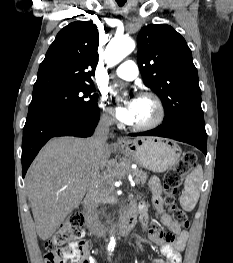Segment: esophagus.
I'll return each instance as SVG.
<instances>
[{
  "label": "esophagus",
  "instance_id": "esophagus-1",
  "mask_svg": "<svg viewBox=\"0 0 233 263\" xmlns=\"http://www.w3.org/2000/svg\"><path fill=\"white\" fill-rule=\"evenodd\" d=\"M127 143H128V140L125 139V138H123V137H120V138H118V140H117V145H118L119 147H123V146H125Z\"/></svg>",
  "mask_w": 233,
  "mask_h": 263
}]
</instances>
